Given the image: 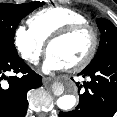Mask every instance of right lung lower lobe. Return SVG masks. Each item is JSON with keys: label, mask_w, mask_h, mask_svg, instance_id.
I'll use <instances>...</instances> for the list:
<instances>
[{"label": "right lung lower lobe", "mask_w": 117, "mask_h": 117, "mask_svg": "<svg viewBox=\"0 0 117 117\" xmlns=\"http://www.w3.org/2000/svg\"><path fill=\"white\" fill-rule=\"evenodd\" d=\"M23 76H6L7 72ZM42 85L36 74L17 55H0V117H24L27 111V92Z\"/></svg>", "instance_id": "98d812e1"}]
</instances>
